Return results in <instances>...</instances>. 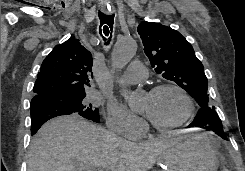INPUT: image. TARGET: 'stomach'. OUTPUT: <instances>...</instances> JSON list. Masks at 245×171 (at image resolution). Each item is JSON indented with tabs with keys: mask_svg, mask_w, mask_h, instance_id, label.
<instances>
[{
	"mask_svg": "<svg viewBox=\"0 0 245 171\" xmlns=\"http://www.w3.org/2000/svg\"><path fill=\"white\" fill-rule=\"evenodd\" d=\"M218 140L212 133L181 136L180 140L160 156L162 171H217Z\"/></svg>",
	"mask_w": 245,
	"mask_h": 171,
	"instance_id": "1",
	"label": "stomach"
}]
</instances>
